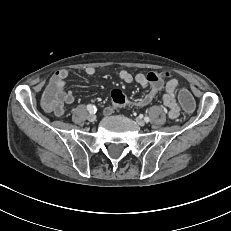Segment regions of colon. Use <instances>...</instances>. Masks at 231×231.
<instances>
[{"label": "colon", "mask_w": 231, "mask_h": 231, "mask_svg": "<svg viewBox=\"0 0 231 231\" xmlns=\"http://www.w3.org/2000/svg\"><path fill=\"white\" fill-rule=\"evenodd\" d=\"M61 70L60 69H52L48 71V81L45 86V94L43 104L46 108L52 107L56 102L55 94L58 91L57 84L58 79L61 78ZM169 73L164 72L160 73V77H168ZM178 103L180 105L181 110L185 112L187 115L193 114L196 110L195 100L193 94L190 93L185 88H180L177 91ZM112 102L115 106L125 105L128 101L126 94L119 89H115L111 93Z\"/></svg>", "instance_id": "obj_1"}]
</instances>
